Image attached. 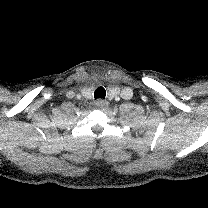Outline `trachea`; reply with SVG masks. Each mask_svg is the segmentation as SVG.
I'll return each instance as SVG.
<instances>
[{
    "label": "trachea",
    "mask_w": 208,
    "mask_h": 208,
    "mask_svg": "<svg viewBox=\"0 0 208 208\" xmlns=\"http://www.w3.org/2000/svg\"><path fill=\"white\" fill-rule=\"evenodd\" d=\"M106 96V90L100 86L98 87L94 92L95 99H105Z\"/></svg>",
    "instance_id": "1"
}]
</instances>
